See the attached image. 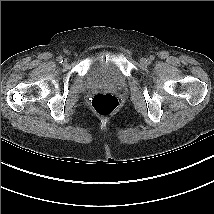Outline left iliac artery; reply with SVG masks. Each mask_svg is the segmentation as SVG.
<instances>
[{"label": "left iliac artery", "instance_id": "44dca946", "mask_svg": "<svg viewBox=\"0 0 214 214\" xmlns=\"http://www.w3.org/2000/svg\"><path fill=\"white\" fill-rule=\"evenodd\" d=\"M154 60V57L151 55L150 58H149V63Z\"/></svg>", "mask_w": 214, "mask_h": 214}]
</instances>
